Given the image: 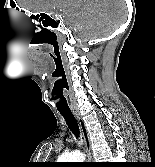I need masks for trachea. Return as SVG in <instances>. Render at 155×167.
Listing matches in <instances>:
<instances>
[{"instance_id": "1", "label": "trachea", "mask_w": 155, "mask_h": 167, "mask_svg": "<svg viewBox=\"0 0 155 167\" xmlns=\"http://www.w3.org/2000/svg\"><path fill=\"white\" fill-rule=\"evenodd\" d=\"M60 114L64 117L66 120V123L68 124L70 130L76 135V137H79V127L77 124V121L72 114L71 111H60Z\"/></svg>"}]
</instances>
